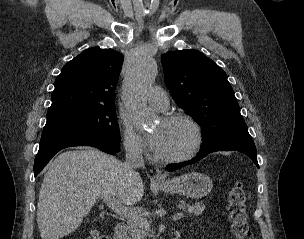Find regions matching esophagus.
<instances>
[{"label": "esophagus", "mask_w": 304, "mask_h": 239, "mask_svg": "<svg viewBox=\"0 0 304 239\" xmlns=\"http://www.w3.org/2000/svg\"><path fill=\"white\" fill-rule=\"evenodd\" d=\"M153 181H154L155 183H161V182L164 181V179H163V177H161V176H159V175H154V176H153Z\"/></svg>", "instance_id": "1"}]
</instances>
